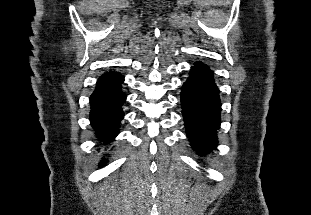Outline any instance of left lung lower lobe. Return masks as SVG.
<instances>
[{"instance_id":"1","label":"left lung lower lobe","mask_w":311,"mask_h":215,"mask_svg":"<svg viewBox=\"0 0 311 215\" xmlns=\"http://www.w3.org/2000/svg\"><path fill=\"white\" fill-rule=\"evenodd\" d=\"M181 104L187 137L198 154L205 155L217 145L220 125L219 90L209 67L196 62L182 87Z\"/></svg>"}]
</instances>
